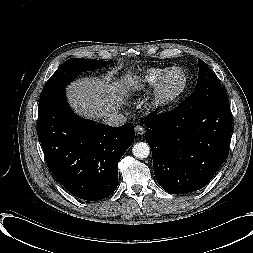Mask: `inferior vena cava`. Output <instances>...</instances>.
Returning a JSON list of instances; mask_svg holds the SVG:
<instances>
[{
	"mask_svg": "<svg viewBox=\"0 0 253 253\" xmlns=\"http://www.w3.org/2000/svg\"><path fill=\"white\" fill-rule=\"evenodd\" d=\"M127 122V117L123 114L113 113L106 120L105 123L109 126L118 127Z\"/></svg>",
	"mask_w": 253,
	"mask_h": 253,
	"instance_id": "obj_1",
	"label": "inferior vena cava"
}]
</instances>
